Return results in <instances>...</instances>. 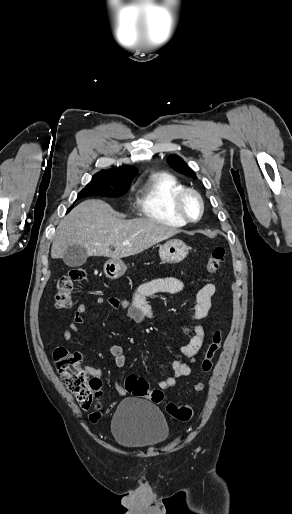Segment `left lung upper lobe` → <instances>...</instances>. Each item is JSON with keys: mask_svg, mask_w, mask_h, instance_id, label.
<instances>
[{"mask_svg": "<svg viewBox=\"0 0 292 514\" xmlns=\"http://www.w3.org/2000/svg\"><path fill=\"white\" fill-rule=\"evenodd\" d=\"M167 163L179 173H182L186 176H189L193 179H197L194 171L187 166V164L183 161L179 156H170L167 158Z\"/></svg>", "mask_w": 292, "mask_h": 514, "instance_id": "5c2ea615", "label": "left lung upper lobe"}]
</instances>
